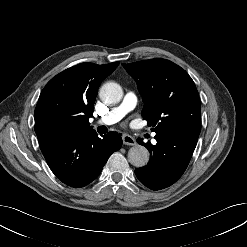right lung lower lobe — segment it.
<instances>
[{"label":"right lung lower lobe","instance_id":"1","mask_svg":"<svg viewBox=\"0 0 247 247\" xmlns=\"http://www.w3.org/2000/svg\"><path fill=\"white\" fill-rule=\"evenodd\" d=\"M122 145L121 135L99 138L94 130H55L41 145L50 169L63 183L81 188L100 174L110 155Z\"/></svg>","mask_w":247,"mask_h":247}]
</instances>
